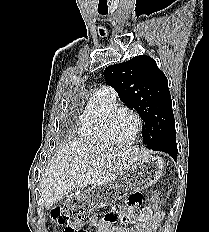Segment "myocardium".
I'll use <instances>...</instances> for the list:
<instances>
[{
	"instance_id": "obj_1",
	"label": "myocardium",
	"mask_w": 209,
	"mask_h": 232,
	"mask_svg": "<svg viewBox=\"0 0 209 232\" xmlns=\"http://www.w3.org/2000/svg\"><path fill=\"white\" fill-rule=\"evenodd\" d=\"M122 112H129L130 114L133 115V117L135 118L136 122H137V126L135 129V132L133 133V135L125 140H120L117 139L112 131V123L114 121V119ZM143 126V121L141 116L139 115V113L134 110L133 108L127 107V106H118L114 109H112L110 112H108V114L106 115L105 118V123H104V131L106 134L107 139L114 144H128L131 143L135 140V138L137 137V135L139 134V132L141 131Z\"/></svg>"
}]
</instances>
